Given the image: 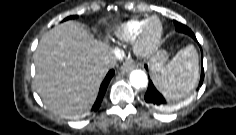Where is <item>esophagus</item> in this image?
<instances>
[{"label":"esophagus","mask_w":236,"mask_h":135,"mask_svg":"<svg viewBox=\"0 0 236 135\" xmlns=\"http://www.w3.org/2000/svg\"><path fill=\"white\" fill-rule=\"evenodd\" d=\"M135 67V64H133L132 62H125L122 66H121V70L123 72H129L131 70H133Z\"/></svg>","instance_id":"obj_1"}]
</instances>
